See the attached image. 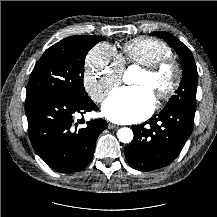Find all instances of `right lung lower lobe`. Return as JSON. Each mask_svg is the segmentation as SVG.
Segmentation results:
<instances>
[{
  "instance_id": "right-lung-lower-lobe-1",
  "label": "right lung lower lobe",
  "mask_w": 217,
  "mask_h": 217,
  "mask_svg": "<svg viewBox=\"0 0 217 217\" xmlns=\"http://www.w3.org/2000/svg\"><path fill=\"white\" fill-rule=\"evenodd\" d=\"M98 110L90 97L37 96L27 98L25 112L28 134L35 152L53 170L74 173L91 160L96 140L108 127L102 119L90 120L85 126L83 114ZM82 115L80 120L75 116Z\"/></svg>"
}]
</instances>
